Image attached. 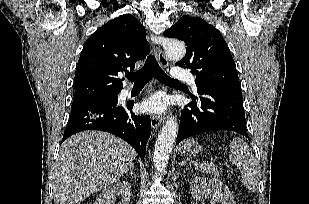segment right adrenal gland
<instances>
[{"label":"right adrenal gland","instance_id":"right-adrenal-gland-1","mask_svg":"<svg viewBox=\"0 0 309 204\" xmlns=\"http://www.w3.org/2000/svg\"><path fill=\"white\" fill-rule=\"evenodd\" d=\"M130 176H132L134 179H136V176L134 175L133 173V168L130 169L129 173H128ZM127 174V175H128Z\"/></svg>","mask_w":309,"mask_h":204}]
</instances>
